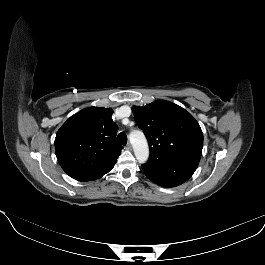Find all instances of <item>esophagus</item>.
<instances>
[{"label":"esophagus","mask_w":265,"mask_h":265,"mask_svg":"<svg viewBox=\"0 0 265 265\" xmlns=\"http://www.w3.org/2000/svg\"><path fill=\"white\" fill-rule=\"evenodd\" d=\"M126 149H127V150H132V146H131L130 143H128V144L126 145Z\"/></svg>","instance_id":"34e87169"}]
</instances>
